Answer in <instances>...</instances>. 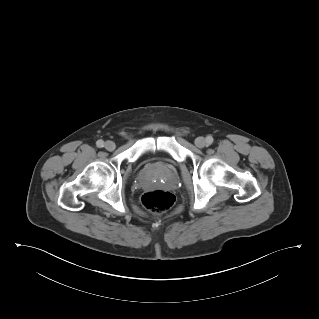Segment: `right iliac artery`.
<instances>
[{"mask_svg": "<svg viewBox=\"0 0 319 319\" xmlns=\"http://www.w3.org/2000/svg\"><path fill=\"white\" fill-rule=\"evenodd\" d=\"M97 147L102 148L104 146V141L103 140H98L96 142Z\"/></svg>", "mask_w": 319, "mask_h": 319, "instance_id": "82829eb1", "label": "right iliac artery"}]
</instances>
